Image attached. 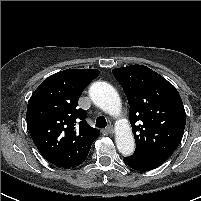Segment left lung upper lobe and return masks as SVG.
<instances>
[{
    "mask_svg": "<svg viewBox=\"0 0 201 201\" xmlns=\"http://www.w3.org/2000/svg\"><path fill=\"white\" fill-rule=\"evenodd\" d=\"M129 103L130 122L140 159L169 158L181 142L186 114L176 88L144 65L112 70Z\"/></svg>",
    "mask_w": 201,
    "mask_h": 201,
    "instance_id": "1",
    "label": "left lung upper lobe"
}]
</instances>
